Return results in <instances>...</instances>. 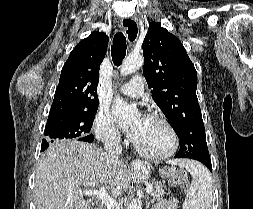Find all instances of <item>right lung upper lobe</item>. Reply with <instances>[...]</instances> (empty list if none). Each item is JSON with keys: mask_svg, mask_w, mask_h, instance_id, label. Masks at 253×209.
Here are the masks:
<instances>
[{"mask_svg": "<svg viewBox=\"0 0 253 209\" xmlns=\"http://www.w3.org/2000/svg\"><path fill=\"white\" fill-rule=\"evenodd\" d=\"M107 46L108 36L98 31L75 46L62 68L49 117L98 106L99 69Z\"/></svg>", "mask_w": 253, "mask_h": 209, "instance_id": "obj_1", "label": "right lung upper lobe"}]
</instances>
